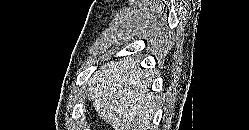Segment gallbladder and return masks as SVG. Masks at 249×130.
Masks as SVG:
<instances>
[{
	"instance_id": "1",
	"label": "gallbladder",
	"mask_w": 249,
	"mask_h": 130,
	"mask_svg": "<svg viewBox=\"0 0 249 130\" xmlns=\"http://www.w3.org/2000/svg\"><path fill=\"white\" fill-rule=\"evenodd\" d=\"M86 97H87L88 100H91V99H92V98H91V93H90V91L87 92Z\"/></svg>"
}]
</instances>
